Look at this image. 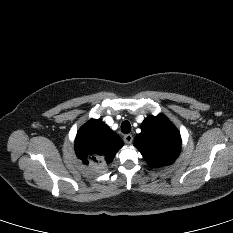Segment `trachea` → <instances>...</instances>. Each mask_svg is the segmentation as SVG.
I'll return each instance as SVG.
<instances>
[{
  "label": "trachea",
  "instance_id": "3493384b",
  "mask_svg": "<svg viewBox=\"0 0 233 233\" xmlns=\"http://www.w3.org/2000/svg\"><path fill=\"white\" fill-rule=\"evenodd\" d=\"M121 131L124 133V134H127L131 131V124L129 121H123L122 124H121Z\"/></svg>",
  "mask_w": 233,
  "mask_h": 233
}]
</instances>
